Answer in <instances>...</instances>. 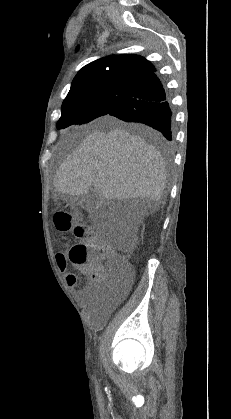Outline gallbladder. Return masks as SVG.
Listing matches in <instances>:
<instances>
[{"instance_id": "1", "label": "gallbladder", "mask_w": 231, "mask_h": 419, "mask_svg": "<svg viewBox=\"0 0 231 419\" xmlns=\"http://www.w3.org/2000/svg\"><path fill=\"white\" fill-rule=\"evenodd\" d=\"M63 199L70 201L71 197L69 195H63ZM100 199L98 190L96 188H91L87 194L75 198L72 203L74 205H81L83 207L94 209L98 205Z\"/></svg>"}]
</instances>
